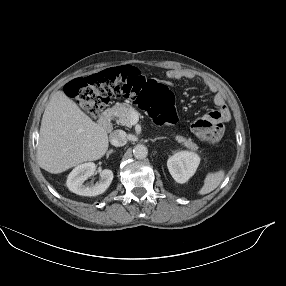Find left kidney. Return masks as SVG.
<instances>
[{"label": "left kidney", "instance_id": "left-kidney-1", "mask_svg": "<svg viewBox=\"0 0 286 286\" xmlns=\"http://www.w3.org/2000/svg\"><path fill=\"white\" fill-rule=\"evenodd\" d=\"M199 163L200 157L198 154L180 151L168 159L167 167L176 182L185 183L194 175Z\"/></svg>", "mask_w": 286, "mask_h": 286}]
</instances>
